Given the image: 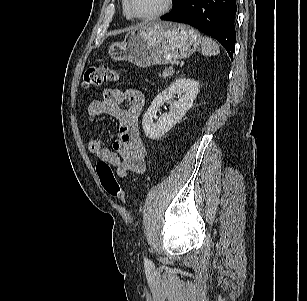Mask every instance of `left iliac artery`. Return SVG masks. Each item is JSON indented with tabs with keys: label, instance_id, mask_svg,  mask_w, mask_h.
Returning a JSON list of instances; mask_svg holds the SVG:
<instances>
[{
	"label": "left iliac artery",
	"instance_id": "obj_1",
	"mask_svg": "<svg viewBox=\"0 0 307 301\" xmlns=\"http://www.w3.org/2000/svg\"><path fill=\"white\" fill-rule=\"evenodd\" d=\"M144 262H145L146 264H149V263H150V260L147 259L146 257H144Z\"/></svg>",
	"mask_w": 307,
	"mask_h": 301
}]
</instances>
